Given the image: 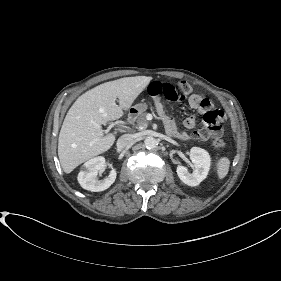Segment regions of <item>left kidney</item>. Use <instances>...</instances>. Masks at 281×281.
Returning a JSON list of instances; mask_svg holds the SVG:
<instances>
[{
    "label": "left kidney",
    "instance_id": "5707ae66",
    "mask_svg": "<svg viewBox=\"0 0 281 281\" xmlns=\"http://www.w3.org/2000/svg\"><path fill=\"white\" fill-rule=\"evenodd\" d=\"M190 159L194 165V170L189 173L187 168L178 165L176 172L180 180L188 186L199 185L208 175L211 158L209 153L199 147H192L190 150Z\"/></svg>",
    "mask_w": 281,
    "mask_h": 281
}]
</instances>
